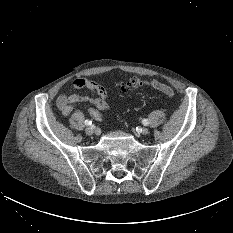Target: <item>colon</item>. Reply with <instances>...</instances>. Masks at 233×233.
I'll list each match as a JSON object with an SVG mask.
<instances>
[{
    "label": "colon",
    "instance_id": "obj_1",
    "mask_svg": "<svg viewBox=\"0 0 233 233\" xmlns=\"http://www.w3.org/2000/svg\"><path fill=\"white\" fill-rule=\"evenodd\" d=\"M149 86L167 96H173L174 95V91L171 87H169L168 85L161 83L157 80H151V81H142L138 78H131L129 79L127 82L125 83H121L119 85V87L121 89H127V88H137V87H141V86Z\"/></svg>",
    "mask_w": 233,
    "mask_h": 233
}]
</instances>
